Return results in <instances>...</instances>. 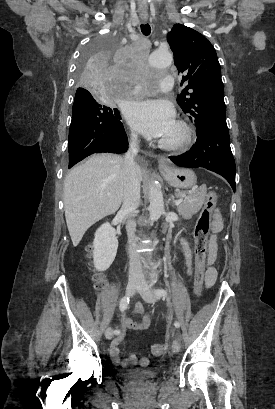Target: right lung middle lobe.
Instances as JSON below:
<instances>
[{
    "instance_id": "dd1d6c3e",
    "label": "right lung middle lobe",
    "mask_w": 275,
    "mask_h": 409,
    "mask_svg": "<svg viewBox=\"0 0 275 409\" xmlns=\"http://www.w3.org/2000/svg\"><path fill=\"white\" fill-rule=\"evenodd\" d=\"M120 36H94L88 42L76 71L78 90L74 99L68 138V164L63 165L62 178L73 172V166L98 152L123 153L128 139L121 123L123 96H107L105 91H127V82H119L114 70L120 49ZM147 160L133 162L134 168L147 169Z\"/></svg>"
}]
</instances>
